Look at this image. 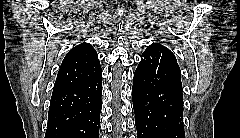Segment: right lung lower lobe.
I'll use <instances>...</instances> for the list:
<instances>
[{
  "instance_id": "obj_1",
  "label": "right lung lower lobe",
  "mask_w": 240,
  "mask_h": 138,
  "mask_svg": "<svg viewBox=\"0 0 240 138\" xmlns=\"http://www.w3.org/2000/svg\"><path fill=\"white\" fill-rule=\"evenodd\" d=\"M101 95V74L83 85L52 93L45 138H99Z\"/></svg>"
}]
</instances>
